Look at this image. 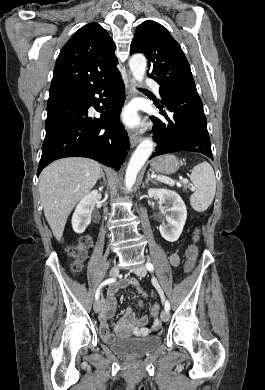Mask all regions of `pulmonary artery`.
Returning <instances> with one entry per match:
<instances>
[{
  "label": "pulmonary artery",
  "mask_w": 265,
  "mask_h": 390,
  "mask_svg": "<svg viewBox=\"0 0 265 390\" xmlns=\"http://www.w3.org/2000/svg\"><path fill=\"white\" fill-rule=\"evenodd\" d=\"M146 84H147L149 87H151L156 93L159 92L160 86H159V84H158L156 81H154V80H152V79H146Z\"/></svg>",
  "instance_id": "1"
}]
</instances>
